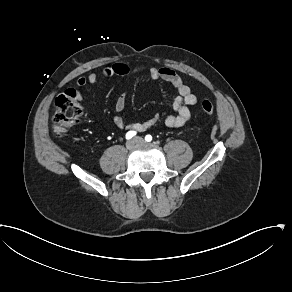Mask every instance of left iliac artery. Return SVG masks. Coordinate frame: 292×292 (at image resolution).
<instances>
[{
  "label": "left iliac artery",
  "mask_w": 292,
  "mask_h": 292,
  "mask_svg": "<svg viewBox=\"0 0 292 292\" xmlns=\"http://www.w3.org/2000/svg\"><path fill=\"white\" fill-rule=\"evenodd\" d=\"M145 140L147 141V142H151L152 141V136L151 135H146L145 136Z\"/></svg>",
  "instance_id": "44dca946"
}]
</instances>
